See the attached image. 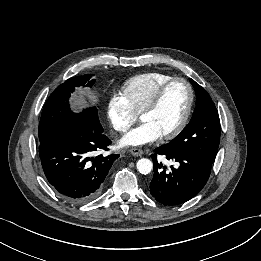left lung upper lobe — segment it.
I'll use <instances>...</instances> for the list:
<instances>
[{"label":"left lung upper lobe","instance_id":"1","mask_svg":"<svg viewBox=\"0 0 261 261\" xmlns=\"http://www.w3.org/2000/svg\"><path fill=\"white\" fill-rule=\"evenodd\" d=\"M196 91V107L189 124L168 146L180 147L214 162L220 142V120L209 94L190 79Z\"/></svg>","mask_w":261,"mask_h":261}]
</instances>
